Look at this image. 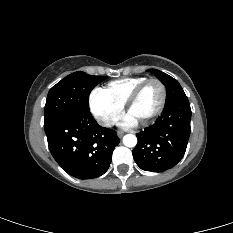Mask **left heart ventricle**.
<instances>
[{"mask_svg": "<svg viewBox=\"0 0 233 233\" xmlns=\"http://www.w3.org/2000/svg\"><path fill=\"white\" fill-rule=\"evenodd\" d=\"M161 101V88L157 83L148 84L137 101L131 107L129 116L137 122L149 118L158 108Z\"/></svg>", "mask_w": 233, "mask_h": 233, "instance_id": "1", "label": "left heart ventricle"}]
</instances>
